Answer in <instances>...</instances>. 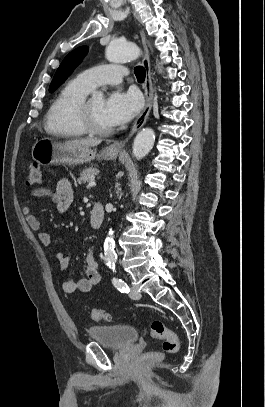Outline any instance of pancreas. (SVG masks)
Masks as SVG:
<instances>
[{"mask_svg": "<svg viewBox=\"0 0 265 407\" xmlns=\"http://www.w3.org/2000/svg\"><path fill=\"white\" fill-rule=\"evenodd\" d=\"M97 168H86L80 172V177L77 179L78 183H86L94 180V176L98 174Z\"/></svg>", "mask_w": 265, "mask_h": 407, "instance_id": "cf45deb5", "label": "pancreas"}]
</instances>
